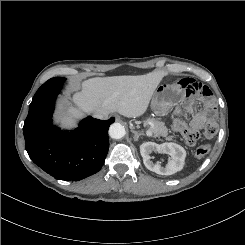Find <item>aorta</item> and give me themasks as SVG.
I'll return each mask as SVG.
<instances>
[{"mask_svg":"<svg viewBox=\"0 0 245 245\" xmlns=\"http://www.w3.org/2000/svg\"><path fill=\"white\" fill-rule=\"evenodd\" d=\"M109 135L113 139H121L125 136V128L120 123H113L109 128Z\"/></svg>","mask_w":245,"mask_h":245,"instance_id":"aorta-1","label":"aorta"}]
</instances>
